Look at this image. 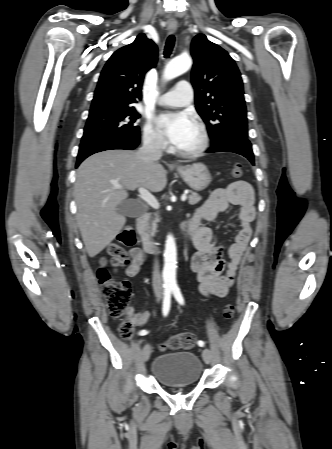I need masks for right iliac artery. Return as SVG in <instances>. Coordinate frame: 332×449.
<instances>
[{"label":"right iliac artery","instance_id":"1","mask_svg":"<svg viewBox=\"0 0 332 449\" xmlns=\"http://www.w3.org/2000/svg\"><path fill=\"white\" fill-rule=\"evenodd\" d=\"M171 293L172 290L170 287H165L164 289V298H163V307H162V311H163V315L166 316L169 313L170 310V304H171ZM148 334L147 330H141L139 332V335L144 336Z\"/></svg>","mask_w":332,"mask_h":449}]
</instances>
